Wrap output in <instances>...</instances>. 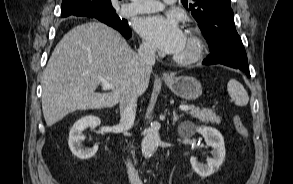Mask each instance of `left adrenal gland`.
<instances>
[{
  "label": "left adrenal gland",
  "mask_w": 293,
  "mask_h": 184,
  "mask_svg": "<svg viewBox=\"0 0 293 184\" xmlns=\"http://www.w3.org/2000/svg\"><path fill=\"white\" fill-rule=\"evenodd\" d=\"M180 117H182V115L177 116L176 112L173 111V124H175L180 119Z\"/></svg>",
  "instance_id": "left-adrenal-gland-1"
}]
</instances>
